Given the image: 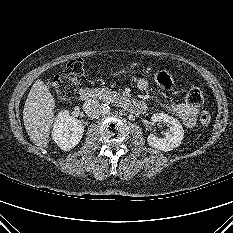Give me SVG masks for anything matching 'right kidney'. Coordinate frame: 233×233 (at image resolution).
<instances>
[{
	"label": "right kidney",
	"instance_id": "ca27d5eb",
	"mask_svg": "<svg viewBox=\"0 0 233 233\" xmlns=\"http://www.w3.org/2000/svg\"><path fill=\"white\" fill-rule=\"evenodd\" d=\"M84 131L82 122L62 111L55 119L52 136L55 143L64 151L74 148L81 140Z\"/></svg>",
	"mask_w": 233,
	"mask_h": 233
}]
</instances>
